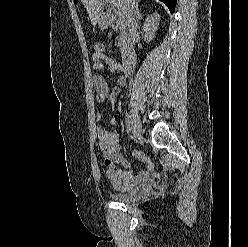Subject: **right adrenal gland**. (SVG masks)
Here are the masks:
<instances>
[{
	"label": "right adrenal gland",
	"mask_w": 248,
	"mask_h": 247,
	"mask_svg": "<svg viewBox=\"0 0 248 247\" xmlns=\"http://www.w3.org/2000/svg\"><path fill=\"white\" fill-rule=\"evenodd\" d=\"M136 14H137V20L140 21L143 18L141 9L139 8V4H136Z\"/></svg>",
	"instance_id": "2a0ac1e0"
}]
</instances>
